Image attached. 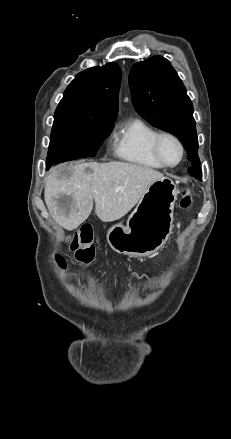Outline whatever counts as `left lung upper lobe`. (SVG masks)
Here are the masks:
<instances>
[{
  "instance_id": "1",
  "label": "left lung upper lobe",
  "mask_w": 231,
  "mask_h": 439,
  "mask_svg": "<svg viewBox=\"0 0 231 439\" xmlns=\"http://www.w3.org/2000/svg\"><path fill=\"white\" fill-rule=\"evenodd\" d=\"M129 83L134 108L152 126L180 139L192 162L189 174L201 180L193 105L170 62L158 55L134 64Z\"/></svg>"
}]
</instances>
